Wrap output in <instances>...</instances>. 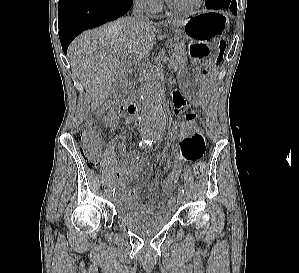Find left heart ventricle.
I'll return each mask as SVG.
<instances>
[{"instance_id": "b2bd125f", "label": "left heart ventricle", "mask_w": 299, "mask_h": 273, "mask_svg": "<svg viewBox=\"0 0 299 273\" xmlns=\"http://www.w3.org/2000/svg\"><path fill=\"white\" fill-rule=\"evenodd\" d=\"M172 4L180 8H188L192 6L196 0H170Z\"/></svg>"}]
</instances>
